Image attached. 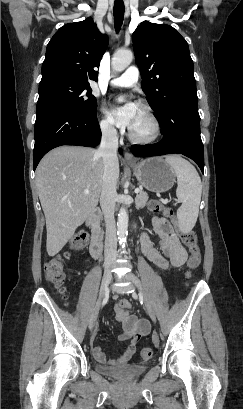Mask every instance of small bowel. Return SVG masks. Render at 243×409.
Here are the masks:
<instances>
[{
  "label": "small bowel",
  "instance_id": "1",
  "mask_svg": "<svg viewBox=\"0 0 243 409\" xmlns=\"http://www.w3.org/2000/svg\"><path fill=\"white\" fill-rule=\"evenodd\" d=\"M153 227L159 237V248L154 247L147 234L141 235V246L146 257L159 269L180 267L185 263L187 251L175 234L173 227L165 218H153ZM114 311L116 319L122 324L119 342L129 341V344L119 358L108 359L101 348L91 339V353L95 360L102 363H127L135 354L139 339L149 331L145 320H140L130 313L131 303L126 299H117Z\"/></svg>",
  "mask_w": 243,
  "mask_h": 409
}]
</instances>
